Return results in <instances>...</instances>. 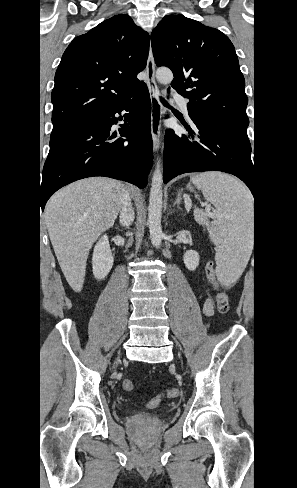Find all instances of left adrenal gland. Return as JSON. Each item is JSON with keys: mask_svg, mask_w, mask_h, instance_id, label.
Listing matches in <instances>:
<instances>
[{"mask_svg": "<svg viewBox=\"0 0 297 488\" xmlns=\"http://www.w3.org/2000/svg\"><path fill=\"white\" fill-rule=\"evenodd\" d=\"M181 195H182V190H179L178 194H177V198L174 202V205H177V208H180L179 205H180L181 200H182Z\"/></svg>", "mask_w": 297, "mask_h": 488, "instance_id": "left-adrenal-gland-1", "label": "left adrenal gland"}]
</instances>
